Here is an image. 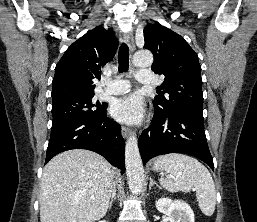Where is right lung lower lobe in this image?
Here are the masks:
<instances>
[{
  "instance_id": "98d812e1",
  "label": "right lung lower lobe",
  "mask_w": 257,
  "mask_h": 222,
  "mask_svg": "<svg viewBox=\"0 0 257 222\" xmlns=\"http://www.w3.org/2000/svg\"><path fill=\"white\" fill-rule=\"evenodd\" d=\"M86 149L105 157L112 165L125 171V142L121 127L106 112L94 119H70L52 125L46 160L63 151Z\"/></svg>"
}]
</instances>
